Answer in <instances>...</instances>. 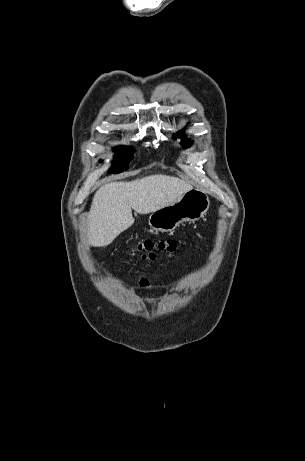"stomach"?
Instances as JSON below:
<instances>
[{"label": "stomach", "mask_w": 305, "mask_h": 461, "mask_svg": "<svg viewBox=\"0 0 305 461\" xmlns=\"http://www.w3.org/2000/svg\"><path fill=\"white\" fill-rule=\"evenodd\" d=\"M209 206L208 195L197 189H192L171 205L152 212L148 223L153 230L171 232L184 221L193 222L204 217Z\"/></svg>", "instance_id": "1"}]
</instances>
